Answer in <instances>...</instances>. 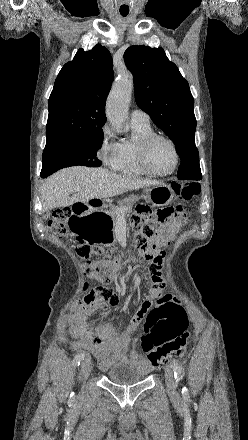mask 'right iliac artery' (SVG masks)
<instances>
[{
  "mask_svg": "<svg viewBox=\"0 0 248 440\" xmlns=\"http://www.w3.org/2000/svg\"><path fill=\"white\" fill-rule=\"evenodd\" d=\"M85 356V352L78 353L73 359V365L78 366L80 362L85 358ZM70 397H73V393L70 395Z\"/></svg>",
  "mask_w": 248,
  "mask_h": 440,
  "instance_id": "obj_1",
  "label": "right iliac artery"
}]
</instances>
